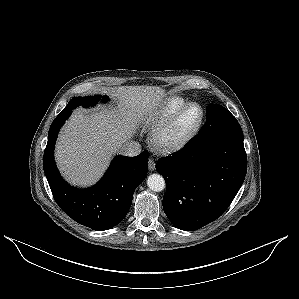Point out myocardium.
Listing matches in <instances>:
<instances>
[{
	"instance_id": "obj_1",
	"label": "myocardium",
	"mask_w": 299,
	"mask_h": 299,
	"mask_svg": "<svg viewBox=\"0 0 299 299\" xmlns=\"http://www.w3.org/2000/svg\"><path fill=\"white\" fill-rule=\"evenodd\" d=\"M197 106L201 111L200 119L197 125L182 139L173 143H167L164 141V135L174 125L179 116L189 107ZM205 120V111L201 104L197 102H188L177 111H175L170 117L159 123L151 132V144L159 152L172 153L185 148L199 133Z\"/></svg>"
}]
</instances>
